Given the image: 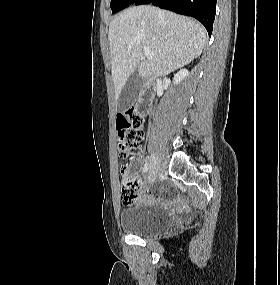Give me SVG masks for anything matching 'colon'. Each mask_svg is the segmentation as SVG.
<instances>
[{"label": "colon", "mask_w": 280, "mask_h": 285, "mask_svg": "<svg viewBox=\"0 0 280 285\" xmlns=\"http://www.w3.org/2000/svg\"><path fill=\"white\" fill-rule=\"evenodd\" d=\"M144 135V120L133 108L117 115V139L119 152L123 157L135 156L140 148ZM121 187L122 202L131 205L137 198V181L127 175L125 169Z\"/></svg>", "instance_id": "1"}]
</instances>
